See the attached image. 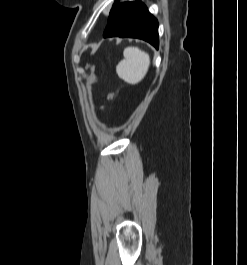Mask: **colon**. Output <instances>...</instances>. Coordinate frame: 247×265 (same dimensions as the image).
I'll list each match as a JSON object with an SVG mask.
<instances>
[{
  "mask_svg": "<svg viewBox=\"0 0 247 265\" xmlns=\"http://www.w3.org/2000/svg\"><path fill=\"white\" fill-rule=\"evenodd\" d=\"M108 98H109V99H113V98H114V93H110V94L108 95Z\"/></svg>",
  "mask_w": 247,
  "mask_h": 265,
  "instance_id": "1",
  "label": "colon"
}]
</instances>
